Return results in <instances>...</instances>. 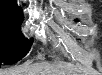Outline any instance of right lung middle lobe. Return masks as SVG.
<instances>
[{
  "label": "right lung middle lobe",
  "instance_id": "dd1d6c3e",
  "mask_svg": "<svg viewBox=\"0 0 102 75\" xmlns=\"http://www.w3.org/2000/svg\"><path fill=\"white\" fill-rule=\"evenodd\" d=\"M23 16L0 13V63L14 64L29 51L32 39L26 40L21 30Z\"/></svg>",
  "mask_w": 102,
  "mask_h": 75
}]
</instances>
